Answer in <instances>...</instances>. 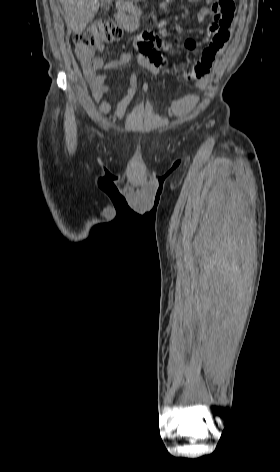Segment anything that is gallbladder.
<instances>
[{"label":"gallbladder","mask_w":280,"mask_h":472,"mask_svg":"<svg viewBox=\"0 0 280 472\" xmlns=\"http://www.w3.org/2000/svg\"><path fill=\"white\" fill-rule=\"evenodd\" d=\"M111 1L112 0H101V5L105 7V6L109 5L111 3Z\"/></svg>","instance_id":"gallbladder-1"}]
</instances>
